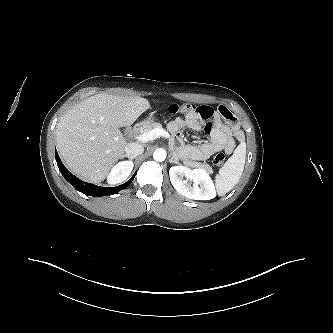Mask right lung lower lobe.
<instances>
[{"mask_svg":"<svg viewBox=\"0 0 333 333\" xmlns=\"http://www.w3.org/2000/svg\"><path fill=\"white\" fill-rule=\"evenodd\" d=\"M55 158L57 161L58 168L63 175V177L78 191L84 193L85 195L89 196H109L118 193L120 190L125 189L130 185V183L133 181L135 175L131 177L129 181L126 183L117 186V187H100L96 186L94 184H90L84 181H81L76 176H74L72 173H70L66 167L61 162L59 155L57 151L55 152Z\"/></svg>","mask_w":333,"mask_h":333,"instance_id":"98d812e1","label":"right lung lower lobe"}]
</instances>
